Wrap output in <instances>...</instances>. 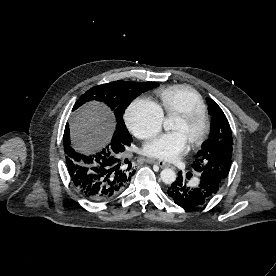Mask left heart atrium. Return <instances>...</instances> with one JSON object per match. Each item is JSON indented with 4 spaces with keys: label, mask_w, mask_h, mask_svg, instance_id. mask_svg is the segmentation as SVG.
<instances>
[{
    "label": "left heart atrium",
    "mask_w": 276,
    "mask_h": 276,
    "mask_svg": "<svg viewBox=\"0 0 276 276\" xmlns=\"http://www.w3.org/2000/svg\"><path fill=\"white\" fill-rule=\"evenodd\" d=\"M189 150V143L183 134L172 132L164 134L144 147V153L152 158L163 161H175Z\"/></svg>",
    "instance_id": "39dd6f15"
}]
</instances>
